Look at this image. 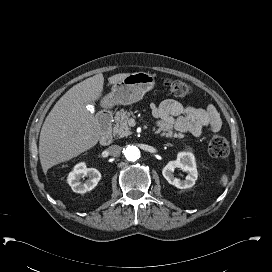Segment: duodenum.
<instances>
[{"label":"duodenum","mask_w":272,"mask_h":272,"mask_svg":"<svg viewBox=\"0 0 272 272\" xmlns=\"http://www.w3.org/2000/svg\"><path fill=\"white\" fill-rule=\"evenodd\" d=\"M97 123L101 129L100 142L102 145H109L112 143V114L109 111H102L97 117Z\"/></svg>","instance_id":"410a0bca"}]
</instances>
